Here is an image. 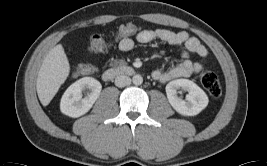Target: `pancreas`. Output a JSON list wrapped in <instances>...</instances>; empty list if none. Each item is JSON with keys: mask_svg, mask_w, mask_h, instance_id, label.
I'll list each match as a JSON object with an SVG mask.
<instances>
[{"mask_svg": "<svg viewBox=\"0 0 267 166\" xmlns=\"http://www.w3.org/2000/svg\"><path fill=\"white\" fill-rule=\"evenodd\" d=\"M122 63H123V61L120 60V61H115V62L111 63V65H118V64H122Z\"/></svg>", "mask_w": 267, "mask_h": 166, "instance_id": "1", "label": "pancreas"}]
</instances>
